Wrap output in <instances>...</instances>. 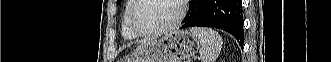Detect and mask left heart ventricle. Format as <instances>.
<instances>
[{
  "mask_svg": "<svg viewBox=\"0 0 331 62\" xmlns=\"http://www.w3.org/2000/svg\"><path fill=\"white\" fill-rule=\"evenodd\" d=\"M177 15L174 0H144L136 12V21L141 28L154 30L170 24Z\"/></svg>",
  "mask_w": 331,
  "mask_h": 62,
  "instance_id": "left-heart-ventricle-1",
  "label": "left heart ventricle"
}]
</instances>
